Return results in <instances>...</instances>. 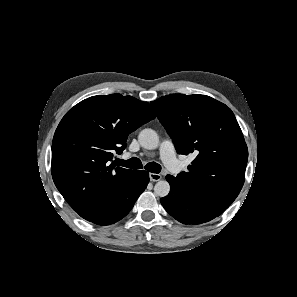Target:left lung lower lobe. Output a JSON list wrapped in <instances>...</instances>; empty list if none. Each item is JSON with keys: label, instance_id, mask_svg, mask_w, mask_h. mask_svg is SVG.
<instances>
[{"label": "left lung lower lobe", "instance_id": "left-lung-lower-lobe-1", "mask_svg": "<svg viewBox=\"0 0 297 297\" xmlns=\"http://www.w3.org/2000/svg\"><path fill=\"white\" fill-rule=\"evenodd\" d=\"M170 184V192L166 197L161 198V204L165 210L176 220L183 224H201L208 222L215 217L216 214L210 212L206 208L198 205L194 200L187 197L186 194L173 184L169 175L166 176Z\"/></svg>", "mask_w": 297, "mask_h": 297}]
</instances>
